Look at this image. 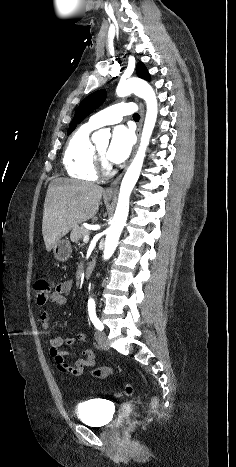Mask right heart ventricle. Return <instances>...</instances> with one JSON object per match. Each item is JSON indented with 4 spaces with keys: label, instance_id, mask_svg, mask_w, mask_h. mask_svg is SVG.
I'll list each match as a JSON object with an SVG mask.
<instances>
[{
    "label": "right heart ventricle",
    "instance_id": "obj_1",
    "mask_svg": "<svg viewBox=\"0 0 236 467\" xmlns=\"http://www.w3.org/2000/svg\"><path fill=\"white\" fill-rule=\"evenodd\" d=\"M94 129L82 125L67 143L63 164L67 174L77 180L95 181L98 173L95 169V147L90 140Z\"/></svg>",
    "mask_w": 236,
    "mask_h": 467
}]
</instances>
